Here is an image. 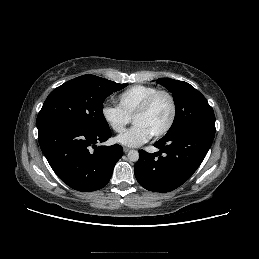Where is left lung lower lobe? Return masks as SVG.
<instances>
[{
	"label": "left lung lower lobe",
	"instance_id": "0a47b994",
	"mask_svg": "<svg viewBox=\"0 0 259 259\" xmlns=\"http://www.w3.org/2000/svg\"><path fill=\"white\" fill-rule=\"evenodd\" d=\"M215 132L189 127L165 135L154 146L155 153L139 151L134 173L149 191L169 192L184 184L200 166L212 145Z\"/></svg>",
	"mask_w": 259,
	"mask_h": 259
}]
</instances>
